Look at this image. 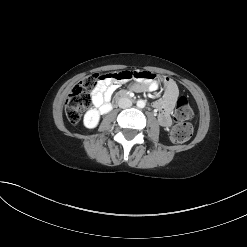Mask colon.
I'll list each match as a JSON object with an SVG mask.
<instances>
[{
  "label": "colon",
  "instance_id": "obj_1",
  "mask_svg": "<svg viewBox=\"0 0 247 247\" xmlns=\"http://www.w3.org/2000/svg\"><path fill=\"white\" fill-rule=\"evenodd\" d=\"M104 77V74L98 73L90 75L72 89L66 102V116L70 123L77 124L80 121L84 110L90 104L88 92L95 89ZM174 116L178 123L172 129L170 139L173 143H184L192 135V127L186 120L193 116V110L185 97L178 99Z\"/></svg>",
  "mask_w": 247,
  "mask_h": 247
}]
</instances>
